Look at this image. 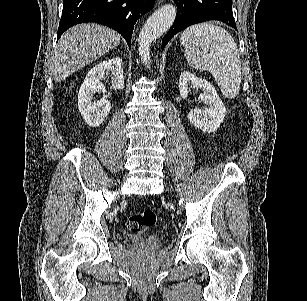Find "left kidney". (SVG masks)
Returning a JSON list of instances; mask_svg holds the SVG:
<instances>
[{
    "mask_svg": "<svg viewBox=\"0 0 307 301\" xmlns=\"http://www.w3.org/2000/svg\"><path fill=\"white\" fill-rule=\"evenodd\" d=\"M178 86L183 98L189 96L191 92L190 86L203 90L199 100L207 104L206 108H192L187 116L190 122L197 126V128H200V130H203V132H216L224 120L226 108L213 84L208 82V80H204V78H199V76L189 72V70H183L179 76Z\"/></svg>",
    "mask_w": 307,
    "mask_h": 301,
    "instance_id": "left-kidney-1",
    "label": "left kidney"
}]
</instances>
